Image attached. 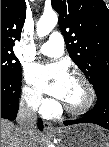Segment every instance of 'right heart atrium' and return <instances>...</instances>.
Here are the masks:
<instances>
[{"label": "right heart atrium", "instance_id": "obj_1", "mask_svg": "<svg viewBox=\"0 0 109 147\" xmlns=\"http://www.w3.org/2000/svg\"><path fill=\"white\" fill-rule=\"evenodd\" d=\"M22 99L30 108L42 113L52 108L51 100L43 98L39 90L28 85L23 87Z\"/></svg>", "mask_w": 109, "mask_h": 147}]
</instances>
